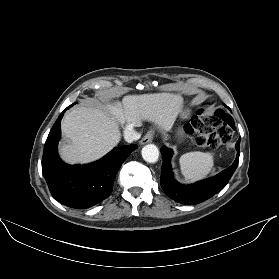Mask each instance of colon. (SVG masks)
Returning a JSON list of instances; mask_svg holds the SVG:
<instances>
[{
  "label": "colon",
  "mask_w": 279,
  "mask_h": 279,
  "mask_svg": "<svg viewBox=\"0 0 279 279\" xmlns=\"http://www.w3.org/2000/svg\"><path fill=\"white\" fill-rule=\"evenodd\" d=\"M190 126L193 142L203 148H216L229 142L235 129L232 117L221 110L199 112Z\"/></svg>",
  "instance_id": "5ec220e1"
}]
</instances>
